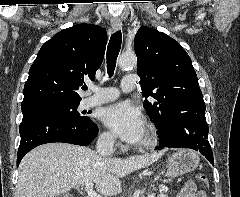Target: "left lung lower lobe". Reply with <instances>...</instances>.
Here are the masks:
<instances>
[{"mask_svg":"<svg viewBox=\"0 0 240 197\" xmlns=\"http://www.w3.org/2000/svg\"><path fill=\"white\" fill-rule=\"evenodd\" d=\"M152 121L158 129L159 149L165 147L194 149L214 165L203 99L191 97L180 111H164Z\"/></svg>","mask_w":240,"mask_h":197,"instance_id":"obj_1","label":"left lung lower lobe"}]
</instances>
